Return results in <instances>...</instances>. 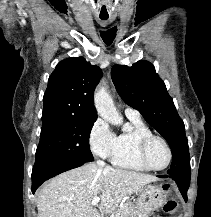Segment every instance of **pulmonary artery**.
Masks as SVG:
<instances>
[{
  "mask_svg": "<svg viewBox=\"0 0 211 217\" xmlns=\"http://www.w3.org/2000/svg\"><path fill=\"white\" fill-rule=\"evenodd\" d=\"M125 114L127 116H136V117L139 116L138 111L135 110V109H133V108H131V107H128V108L125 109Z\"/></svg>",
  "mask_w": 211,
  "mask_h": 217,
  "instance_id": "e3ab8cb5",
  "label": "pulmonary artery"
}]
</instances>
